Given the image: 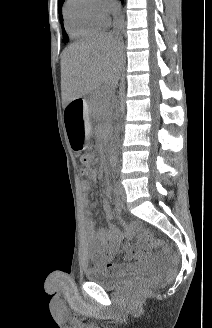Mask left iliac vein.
<instances>
[{
    "mask_svg": "<svg viewBox=\"0 0 212 328\" xmlns=\"http://www.w3.org/2000/svg\"><path fill=\"white\" fill-rule=\"evenodd\" d=\"M119 190H120V194H121L122 199L125 200L126 199V194H125L124 187L121 183H119Z\"/></svg>",
    "mask_w": 212,
    "mask_h": 328,
    "instance_id": "1",
    "label": "left iliac vein"
}]
</instances>
